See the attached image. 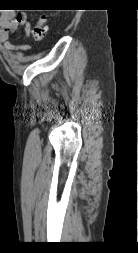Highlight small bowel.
<instances>
[{"label":"small bowel","mask_w":138,"mask_h":253,"mask_svg":"<svg viewBox=\"0 0 138 253\" xmlns=\"http://www.w3.org/2000/svg\"><path fill=\"white\" fill-rule=\"evenodd\" d=\"M21 28L24 30V37H28L31 32V24L25 13L3 11L0 16V42L10 50H30L31 47L27 44L16 45L11 41L12 35Z\"/></svg>","instance_id":"1"}]
</instances>
